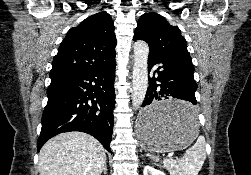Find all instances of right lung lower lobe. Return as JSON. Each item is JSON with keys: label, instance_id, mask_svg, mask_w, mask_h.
<instances>
[{"label": "right lung lower lobe", "instance_id": "98d812e1", "mask_svg": "<svg viewBox=\"0 0 251 175\" xmlns=\"http://www.w3.org/2000/svg\"><path fill=\"white\" fill-rule=\"evenodd\" d=\"M115 66L114 60L101 68L51 78L37 142L38 151L59 133L81 131L94 136L111 152Z\"/></svg>", "mask_w": 251, "mask_h": 175}]
</instances>
